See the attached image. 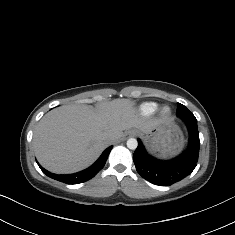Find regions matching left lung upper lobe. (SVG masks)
<instances>
[{
    "mask_svg": "<svg viewBox=\"0 0 235 235\" xmlns=\"http://www.w3.org/2000/svg\"><path fill=\"white\" fill-rule=\"evenodd\" d=\"M177 116L180 118L183 117H192L194 118L195 116L182 104L178 103L177 104Z\"/></svg>",
    "mask_w": 235,
    "mask_h": 235,
    "instance_id": "1",
    "label": "left lung upper lobe"
}]
</instances>
